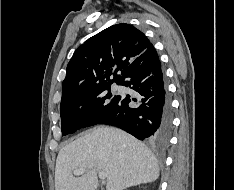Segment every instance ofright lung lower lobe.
<instances>
[{
  "label": "right lung lower lobe",
  "instance_id": "98d812e1",
  "mask_svg": "<svg viewBox=\"0 0 234 190\" xmlns=\"http://www.w3.org/2000/svg\"><path fill=\"white\" fill-rule=\"evenodd\" d=\"M117 84L130 87L137 97L120 96L113 111L98 124L113 125L139 140L166 145L171 133L172 113L161 63L153 45L126 68Z\"/></svg>",
  "mask_w": 234,
  "mask_h": 190
}]
</instances>
